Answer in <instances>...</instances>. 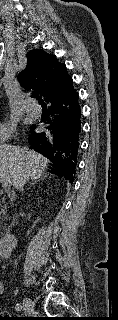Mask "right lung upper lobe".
<instances>
[{
    "label": "right lung upper lobe",
    "mask_w": 118,
    "mask_h": 320,
    "mask_svg": "<svg viewBox=\"0 0 118 320\" xmlns=\"http://www.w3.org/2000/svg\"><path fill=\"white\" fill-rule=\"evenodd\" d=\"M27 58V66L19 79L25 89L34 90L33 95H42L48 103L73 87L65 64L59 63L55 55L34 49L27 53Z\"/></svg>",
    "instance_id": "right-lung-upper-lobe-1"
}]
</instances>
